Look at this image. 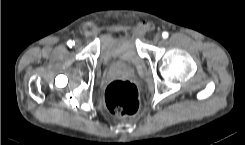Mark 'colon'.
<instances>
[{
  "label": "colon",
  "instance_id": "5ec220e1",
  "mask_svg": "<svg viewBox=\"0 0 245 145\" xmlns=\"http://www.w3.org/2000/svg\"><path fill=\"white\" fill-rule=\"evenodd\" d=\"M138 26L147 28L149 24L139 20ZM105 102L109 110L118 116L133 114L139 108L137 88L128 80H115L106 89Z\"/></svg>",
  "mask_w": 245,
  "mask_h": 145
}]
</instances>
